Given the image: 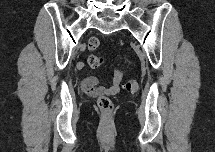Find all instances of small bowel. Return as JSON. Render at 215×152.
<instances>
[{"label": "small bowel", "instance_id": "obj_1", "mask_svg": "<svg viewBox=\"0 0 215 152\" xmlns=\"http://www.w3.org/2000/svg\"><path fill=\"white\" fill-rule=\"evenodd\" d=\"M121 80L122 75L120 71L115 72L109 86L100 85L98 79L95 76H88L81 81V88L85 94L90 97L110 95L119 91Z\"/></svg>", "mask_w": 215, "mask_h": 152}]
</instances>
